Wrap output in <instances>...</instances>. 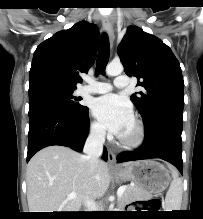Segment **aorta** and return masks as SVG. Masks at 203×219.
<instances>
[{
  "label": "aorta",
  "instance_id": "762f6f07",
  "mask_svg": "<svg viewBox=\"0 0 203 219\" xmlns=\"http://www.w3.org/2000/svg\"><path fill=\"white\" fill-rule=\"evenodd\" d=\"M105 72L108 76H117L123 72V65L120 62H112L106 66Z\"/></svg>",
  "mask_w": 203,
  "mask_h": 219
}]
</instances>
